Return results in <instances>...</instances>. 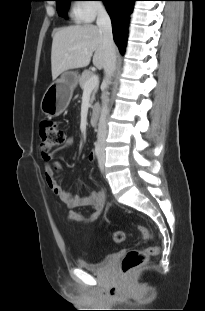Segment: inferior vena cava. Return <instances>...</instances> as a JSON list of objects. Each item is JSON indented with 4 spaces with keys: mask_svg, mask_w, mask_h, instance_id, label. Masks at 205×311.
Listing matches in <instances>:
<instances>
[{
    "mask_svg": "<svg viewBox=\"0 0 205 311\" xmlns=\"http://www.w3.org/2000/svg\"><path fill=\"white\" fill-rule=\"evenodd\" d=\"M97 26L103 34V43L105 47L106 54V64L104 67L105 72V80L104 87H106L110 78L116 67V46L113 40L112 28H111V20L105 9H100L97 15ZM102 108L100 112V118L98 123V142L101 145H104L106 135H107V123L106 117L108 114V96L107 93L103 92L102 96Z\"/></svg>",
    "mask_w": 205,
    "mask_h": 311,
    "instance_id": "1",
    "label": "inferior vena cava"
}]
</instances>
